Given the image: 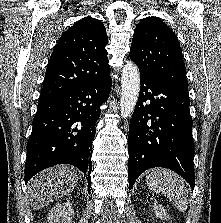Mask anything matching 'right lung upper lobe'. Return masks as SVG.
<instances>
[{"mask_svg": "<svg viewBox=\"0 0 221 223\" xmlns=\"http://www.w3.org/2000/svg\"><path fill=\"white\" fill-rule=\"evenodd\" d=\"M105 27L90 16L70 27L58 40L45 73L40 101L70 92L106 73Z\"/></svg>", "mask_w": 221, "mask_h": 223, "instance_id": "cb5924a9", "label": "right lung upper lobe"}]
</instances>
